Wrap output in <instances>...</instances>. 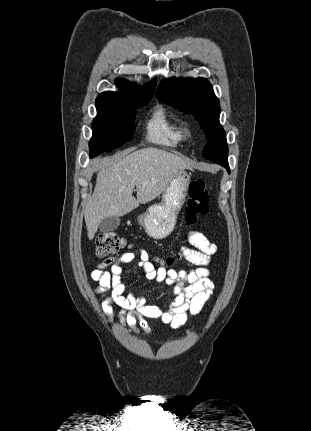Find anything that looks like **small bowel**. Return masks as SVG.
Here are the masks:
<instances>
[{
	"mask_svg": "<svg viewBox=\"0 0 311 431\" xmlns=\"http://www.w3.org/2000/svg\"><path fill=\"white\" fill-rule=\"evenodd\" d=\"M189 243L193 249L184 248L183 254L189 264L194 266L190 270L156 268L158 258L151 257L144 250L136 254L132 251L133 245L128 246V251L121 256L99 264L91 272L90 277L98 284L95 292L100 296L103 312L112 317L113 305L119 306L121 323L135 330L138 326L148 330L145 318H159L172 329H177L187 322L190 315L199 314L213 293L214 284L210 279L211 272L207 266L216 253L217 246L201 232H191ZM134 260L148 279L171 287L172 299L167 310L147 304L146 297L142 293L136 295L133 292H127L121 265ZM107 266H110V270L104 271L103 268Z\"/></svg>",
	"mask_w": 311,
	"mask_h": 431,
	"instance_id": "small-bowel-1",
	"label": "small bowel"
}]
</instances>
